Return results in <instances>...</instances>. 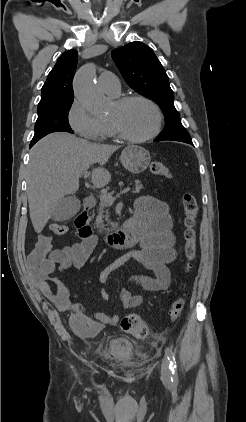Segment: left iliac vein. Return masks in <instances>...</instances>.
<instances>
[{
    "label": "left iliac vein",
    "instance_id": "1",
    "mask_svg": "<svg viewBox=\"0 0 246 422\" xmlns=\"http://www.w3.org/2000/svg\"><path fill=\"white\" fill-rule=\"evenodd\" d=\"M161 377L165 382H169L171 378L170 362L167 357L164 358L161 365Z\"/></svg>",
    "mask_w": 246,
    "mask_h": 422
}]
</instances>
